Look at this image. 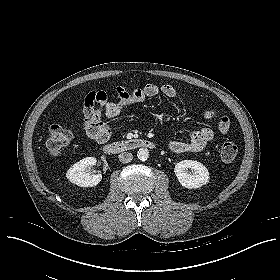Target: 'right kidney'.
I'll return each mask as SVG.
<instances>
[{
	"instance_id": "obj_1",
	"label": "right kidney",
	"mask_w": 280,
	"mask_h": 280,
	"mask_svg": "<svg viewBox=\"0 0 280 280\" xmlns=\"http://www.w3.org/2000/svg\"><path fill=\"white\" fill-rule=\"evenodd\" d=\"M96 164V158L86 157L75 163L66 173L67 179L80 187L96 186L102 179L101 174L86 173L85 170L89 166Z\"/></svg>"
}]
</instances>
